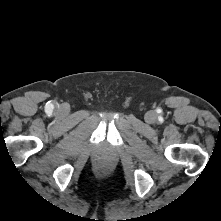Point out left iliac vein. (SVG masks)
Listing matches in <instances>:
<instances>
[{"instance_id": "4c4485c4", "label": "left iliac vein", "mask_w": 221, "mask_h": 221, "mask_svg": "<svg viewBox=\"0 0 221 221\" xmlns=\"http://www.w3.org/2000/svg\"><path fill=\"white\" fill-rule=\"evenodd\" d=\"M155 118H156V115L153 111H150L145 115V120L148 123L154 122Z\"/></svg>"}]
</instances>
